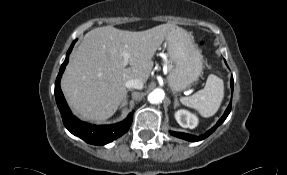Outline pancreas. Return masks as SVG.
Instances as JSON below:
<instances>
[{
	"instance_id": "1",
	"label": "pancreas",
	"mask_w": 287,
	"mask_h": 175,
	"mask_svg": "<svg viewBox=\"0 0 287 175\" xmlns=\"http://www.w3.org/2000/svg\"><path fill=\"white\" fill-rule=\"evenodd\" d=\"M163 65L167 66V69H170L172 67L171 61L167 60V61H163L162 62Z\"/></svg>"
}]
</instances>
